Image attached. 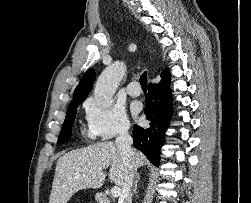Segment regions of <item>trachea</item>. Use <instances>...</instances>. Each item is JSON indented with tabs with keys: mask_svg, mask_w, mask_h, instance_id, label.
Returning <instances> with one entry per match:
<instances>
[{
	"mask_svg": "<svg viewBox=\"0 0 251 203\" xmlns=\"http://www.w3.org/2000/svg\"><path fill=\"white\" fill-rule=\"evenodd\" d=\"M147 72L145 71L141 76H140V84L143 90H147Z\"/></svg>",
	"mask_w": 251,
	"mask_h": 203,
	"instance_id": "3493384b",
	"label": "trachea"
}]
</instances>
